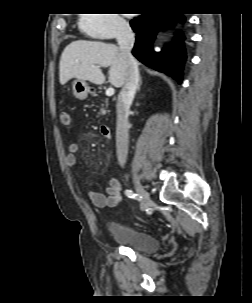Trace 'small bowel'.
Wrapping results in <instances>:
<instances>
[{"instance_id": "c3829d8e", "label": "small bowel", "mask_w": 252, "mask_h": 303, "mask_svg": "<svg viewBox=\"0 0 252 303\" xmlns=\"http://www.w3.org/2000/svg\"><path fill=\"white\" fill-rule=\"evenodd\" d=\"M78 151V144L71 143L68 147V154L65 158V164L69 168H74L77 165L76 153ZM106 192L108 195H104L100 192L91 191L89 198L91 202L101 209H112L118 206L124 201L122 193V184L114 177L106 178Z\"/></svg>"}]
</instances>
